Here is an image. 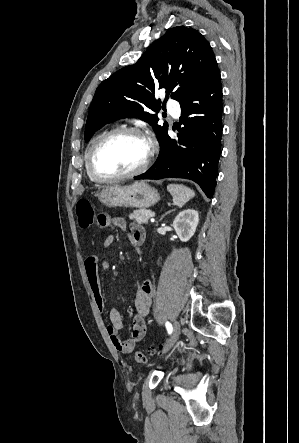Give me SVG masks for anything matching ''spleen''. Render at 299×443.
<instances>
[{"label":"spleen","instance_id":"obj_1","mask_svg":"<svg viewBox=\"0 0 299 443\" xmlns=\"http://www.w3.org/2000/svg\"><path fill=\"white\" fill-rule=\"evenodd\" d=\"M167 190L173 198V203L179 208H182L191 198L195 196V192L180 184H169Z\"/></svg>","mask_w":299,"mask_h":443}]
</instances>
